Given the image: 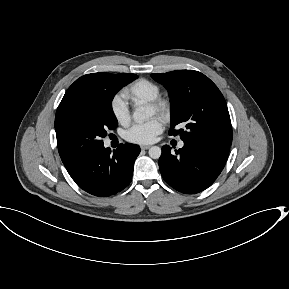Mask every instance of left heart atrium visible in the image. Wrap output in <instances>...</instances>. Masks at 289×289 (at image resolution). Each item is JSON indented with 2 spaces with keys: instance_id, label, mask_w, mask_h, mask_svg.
I'll return each mask as SVG.
<instances>
[{
  "instance_id": "1",
  "label": "left heart atrium",
  "mask_w": 289,
  "mask_h": 289,
  "mask_svg": "<svg viewBox=\"0 0 289 289\" xmlns=\"http://www.w3.org/2000/svg\"><path fill=\"white\" fill-rule=\"evenodd\" d=\"M162 128V121L158 118H153L144 123L133 125L125 132V139L135 144H149L155 140Z\"/></svg>"
}]
</instances>
